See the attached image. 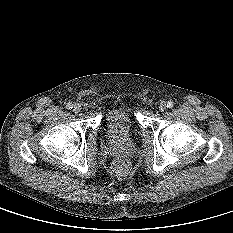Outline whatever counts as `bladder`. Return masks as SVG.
I'll list each match as a JSON object with an SVG mask.
<instances>
[{
  "instance_id": "1",
  "label": "bladder",
  "mask_w": 233,
  "mask_h": 233,
  "mask_svg": "<svg viewBox=\"0 0 233 233\" xmlns=\"http://www.w3.org/2000/svg\"><path fill=\"white\" fill-rule=\"evenodd\" d=\"M135 129V115L133 110L127 105H120L113 108L104 118V131L107 137L113 141H129Z\"/></svg>"
}]
</instances>
